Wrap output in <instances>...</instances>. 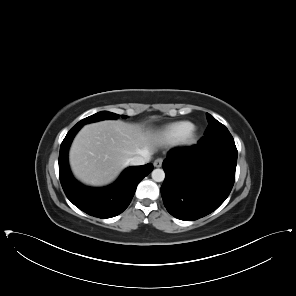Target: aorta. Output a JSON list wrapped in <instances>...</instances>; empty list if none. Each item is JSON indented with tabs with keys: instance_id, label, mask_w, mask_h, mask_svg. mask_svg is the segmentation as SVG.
<instances>
[{
	"instance_id": "obj_1",
	"label": "aorta",
	"mask_w": 296,
	"mask_h": 296,
	"mask_svg": "<svg viewBox=\"0 0 296 296\" xmlns=\"http://www.w3.org/2000/svg\"><path fill=\"white\" fill-rule=\"evenodd\" d=\"M151 176L155 182H162L165 178V172L163 169H154L151 173Z\"/></svg>"
}]
</instances>
